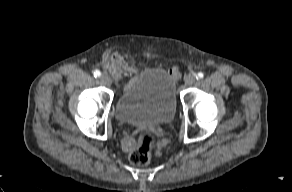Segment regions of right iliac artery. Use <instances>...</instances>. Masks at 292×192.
Masks as SVG:
<instances>
[{
	"label": "right iliac artery",
	"mask_w": 292,
	"mask_h": 192,
	"mask_svg": "<svg viewBox=\"0 0 292 192\" xmlns=\"http://www.w3.org/2000/svg\"><path fill=\"white\" fill-rule=\"evenodd\" d=\"M94 76L95 77H100L101 76V72L99 70H95L94 71Z\"/></svg>",
	"instance_id": "obj_1"
}]
</instances>
